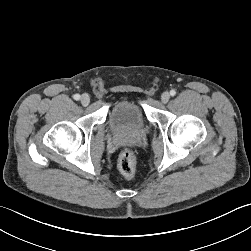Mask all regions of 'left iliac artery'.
I'll return each mask as SVG.
<instances>
[{"instance_id":"1","label":"left iliac artery","mask_w":251,"mask_h":251,"mask_svg":"<svg viewBox=\"0 0 251 251\" xmlns=\"http://www.w3.org/2000/svg\"><path fill=\"white\" fill-rule=\"evenodd\" d=\"M170 95H171V96H175V95H176V91H175V90H171V91H170Z\"/></svg>"}]
</instances>
